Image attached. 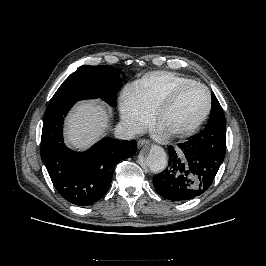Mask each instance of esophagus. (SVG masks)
Listing matches in <instances>:
<instances>
[{
  "label": "esophagus",
  "mask_w": 266,
  "mask_h": 266,
  "mask_svg": "<svg viewBox=\"0 0 266 266\" xmlns=\"http://www.w3.org/2000/svg\"><path fill=\"white\" fill-rule=\"evenodd\" d=\"M150 144H151V142L149 140H146V139H139L137 142L138 148H140L144 145H150Z\"/></svg>",
  "instance_id": "esophagus-1"
}]
</instances>
